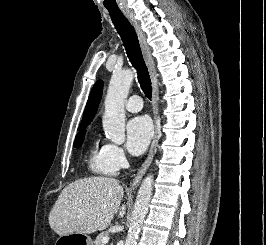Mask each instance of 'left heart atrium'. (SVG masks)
Instances as JSON below:
<instances>
[{"label":"left heart atrium","mask_w":266,"mask_h":245,"mask_svg":"<svg viewBox=\"0 0 266 245\" xmlns=\"http://www.w3.org/2000/svg\"><path fill=\"white\" fill-rule=\"evenodd\" d=\"M153 128L145 116L135 117L126 125V146L134 155L141 154L150 142Z\"/></svg>","instance_id":"1"}]
</instances>
